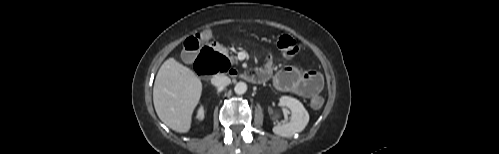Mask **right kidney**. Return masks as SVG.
Masks as SVG:
<instances>
[{
    "mask_svg": "<svg viewBox=\"0 0 499 154\" xmlns=\"http://www.w3.org/2000/svg\"><path fill=\"white\" fill-rule=\"evenodd\" d=\"M197 118L199 120H203L204 119V109H203V107L199 108L198 113H197Z\"/></svg>",
    "mask_w": 499,
    "mask_h": 154,
    "instance_id": "obj_1",
    "label": "right kidney"
}]
</instances>
